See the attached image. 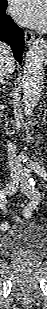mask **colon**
I'll return each instance as SVG.
<instances>
[{
    "label": "colon",
    "mask_w": 47,
    "mask_h": 309,
    "mask_svg": "<svg viewBox=\"0 0 47 309\" xmlns=\"http://www.w3.org/2000/svg\"><path fill=\"white\" fill-rule=\"evenodd\" d=\"M24 216L30 217V216H31V211L28 210V209H25V210H24ZM14 221H15V222H19V221H20V218H19V217H14Z\"/></svg>",
    "instance_id": "5ec220e1"
}]
</instances>
